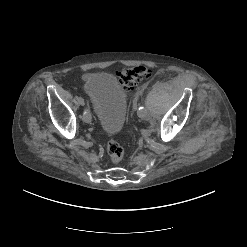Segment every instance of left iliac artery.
Returning a JSON list of instances; mask_svg holds the SVG:
<instances>
[{"label":"left iliac artery","mask_w":247,"mask_h":247,"mask_svg":"<svg viewBox=\"0 0 247 247\" xmlns=\"http://www.w3.org/2000/svg\"><path fill=\"white\" fill-rule=\"evenodd\" d=\"M144 110H145V109H144V106H143V105H140L138 111H139V112H143Z\"/></svg>","instance_id":"left-iliac-artery-1"}]
</instances>
